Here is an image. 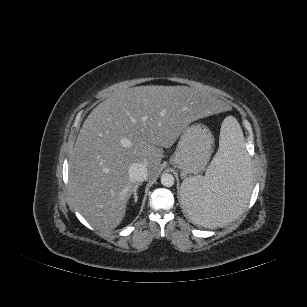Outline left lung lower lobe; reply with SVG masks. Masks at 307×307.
Returning <instances> with one entry per match:
<instances>
[{"label":"left lung lower lobe","mask_w":307,"mask_h":307,"mask_svg":"<svg viewBox=\"0 0 307 307\" xmlns=\"http://www.w3.org/2000/svg\"><path fill=\"white\" fill-rule=\"evenodd\" d=\"M230 211L231 210H229L228 204H224L223 208L220 209L219 211H215V213L217 212V213H220V214H222V213L228 214V212H230Z\"/></svg>","instance_id":"1"}]
</instances>
